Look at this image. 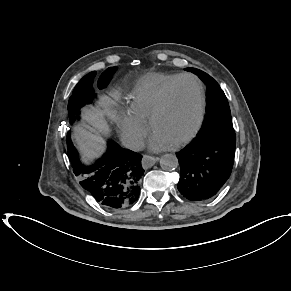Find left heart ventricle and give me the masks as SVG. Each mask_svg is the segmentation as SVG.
Instances as JSON below:
<instances>
[{"label":"left heart ventricle","mask_w":291,"mask_h":291,"mask_svg":"<svg viewBox=\"0 0 291 291\" xmlns=\"http://www.w3.org/2000/svg\"><path fill=\"white\" fill-rule=\"evenodd\" d=\"M198 88L194 81L184 80L175 89L170 104L155 121L153 132L171 144L186 136L198 115Z\"/></svg>","instance_id":"obj_1"}]
</instances>
